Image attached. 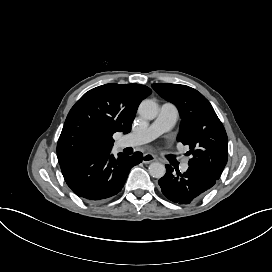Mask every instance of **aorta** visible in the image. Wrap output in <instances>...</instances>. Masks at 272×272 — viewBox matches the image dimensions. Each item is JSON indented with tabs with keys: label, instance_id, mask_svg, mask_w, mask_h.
<instances>
[{
	"label": "aorta",
	"instance_id": "aorta-1",
	"mask_svg": "<svg viewBox=\"0 0 272 272\" xmlns=\"http://www.w3.org/2000/svg\"><path fill=\"white\" fill-rule=\"evenodd\" d=\"M140 116L152 120L157 116L158 104L151 99L143 100L138 108ZM149 173L154 178H161L165 175L166 169L164 164L160 162H152L148 167Z\"/></svg>",
	"mask_w": 272,
	"mask_h": 272
}]
</instances>
